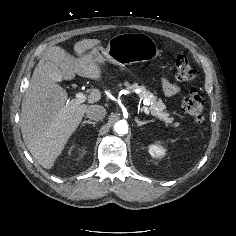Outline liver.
Listing matches in <instances>:
<instances>
[{
  "label": "liver",
  "instance_id": "obj_1",
  "mask_svg": "<svg viewBox=\"0 0 236 236\" xmlns=\"http://www.w3.org/2000/svg\"><path fill=\"white\" fill-rule=\"evenodd\" d=\"M97 39L76 42L73 57L60 46L45 51L31 77L21 105V133L24 143L34 159L45 169H51L71 135L75 132L88 105H71L67 92L48 74L51 65L57 66L62 79L71 80L75 75L100 80L101 63L91 52L100 44ZM88 50H91L87 53ZM101 99V92L93 89L88 103Z\"/></svg>",
  "mask_w": 236,
  "mask_h": 236
}]
</instances>
